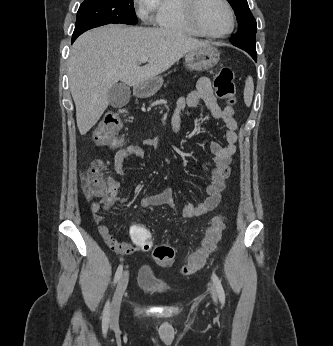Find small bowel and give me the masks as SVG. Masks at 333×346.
I'll list each match as a JSON object with an SVG mask.
<instances>
[{
  "label": "small bowel",
  "instance_id": "1",
  "mask_svg": "<svg viewBox=\"0 0 333 346\" xmlns=\"http://www.w3.org/2000/svg\"><path fill=\"white\" fill-rule=\"evenodd\" d=\"M204 103L211 111L213 117L222 121L226 126L224 138L226 145L217 141L210 143V150L214 155V166L211 170V181L205 187L206 198L199 204H187L180 210L183 218H193L204 215L214 210L221 201V193L226 187V180L229 177V165L237 148V123L234 117V110L231 107L222 108L218 99L214 95L210 80L202 77L197 82L196 89L186 96H182L177 101L176 110L171 119L172 129L178 133L181 125L180 112L185 107H196ZM142 146L161 148V141L158 138H146ZM141 145L130 144L120 148L113 157V165L118 175H126L124 162L127 158L135 156L145 158V152ZM109 194L102 200L91 204L90 210L97 225L99 234L105 240L106 244L112 247L113 254H134L135 242L126 243L117 240L106 224V218L102 211L108 210L115 202L124 203L127 198H119L117 191L119 182L113 178H108ZM144 208L154 206L174 207L173 189L167 188L159 194L145 196L141 200ZM139 248V247H138ZM151 248V247H150Z\"/></svg>",
  "mask_w": 333,
  "mask_h": 346
}]
</instances>
